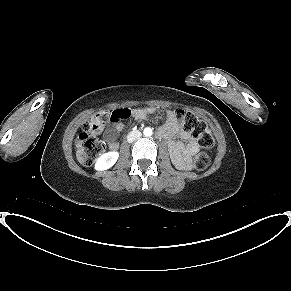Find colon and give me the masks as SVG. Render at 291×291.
I'll return each mask as SVG.
<instances>
[{
    "mask_svg": "<svg viewBox=\"0 0 291 291\" xmlns=\"http://www.w3.org/2000/svg\"><path fill=\"white\" fill-rule=\"evenodd\" d=\"M175 113L183 129L196 137L201 147L210 149L214 146V138L204 121L184 109H179ZM130 115L131 111L128 108L115 110L111 114L100 112L94 115L77 137V158L80 164L91 166L104 152L105 146L97 139V136L104 132L109 121L128 119ZM209 162V156L205 152H199L194 156L192 166L195 170L201 171L208 166Z\"/></svg>",
    "mask_w": 291,
    "mask_h": 291,
    "instance_id": "colon-1",
    "label": "colon"
}]
</instances>
